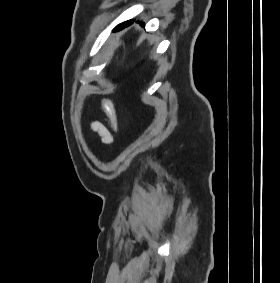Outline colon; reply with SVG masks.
Masks as SVG:
<instances>
[{
	"instance_id": "colon-1",
	"label": "colon",
	"mask_w": 280,
	"mask_h": 283,
	"mask_svg": "<svg viewBox=\"0 0 280 283\" xmlns=\"http://www.w3.org/2000/svg\"><path fill=\"white\" fill-rule=\"evenodd\" d=\"M125 36L126 37H133L134 33L133 32H126ZM110 46L114 47L115 43L111 42ZM103 108H104V111H105V113L108 117L110 124L113 125L115 128H117L116 112H115V108H114L112 101L110 99H104L103 100Z\"/></svg>"
}]
</instances>
